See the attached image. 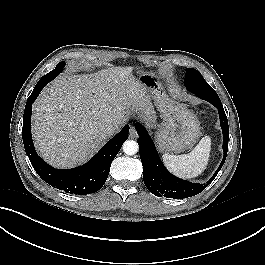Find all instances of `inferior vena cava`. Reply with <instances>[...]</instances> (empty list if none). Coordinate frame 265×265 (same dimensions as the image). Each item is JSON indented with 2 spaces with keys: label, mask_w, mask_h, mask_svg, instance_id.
I'll list each match as a JSON object with an SVG mask.
<instances>
[{
  "label": "inferior vena cava",
  "mask_w": 265,
  "mask_h": 265,
  "mask_svg": "<svg viewBox=\"0 0 265 265\" xmlns=\"http://www.w3.org/2000/svg\"><path fill=\"white\" fill-rule=\"evenodd\" d=\"M116 129H117V126H115V125H113V124H110V125H108L107 127H106V132L108 133V134H113V133H115V131H116Z\"/></svg>",
  "instance_id": "602c4592"
}]
</instances>
